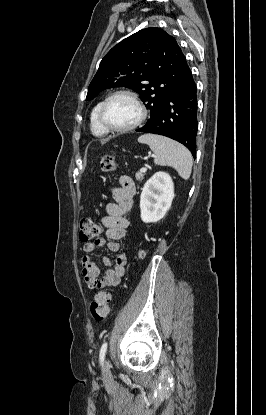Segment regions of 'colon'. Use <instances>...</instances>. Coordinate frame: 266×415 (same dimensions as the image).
Returning <instances> with one entry per match:
<instances>
[{"label":"colon","instance_id":"obj_1","mask_svg":"<svg viewBox=\"0 0 266 415\" xmlns=\"http://www.w3.org/2000/svg\"><path fill=\"white\" fill-rule=\"evenodd\" d=\"M100 165L103 171L111 172L116 166L115 159L113 156H105ZM101 232L102 227L93 219L84 218L81 220L79 238L82 242H89L99 236ZM110 300V294L104 291L98 292L94 296L90 304V313L94 320L101 321L107 317L110 310Z\"/></svg>","mask_w":266,"mask_h":415}]
</instances>
